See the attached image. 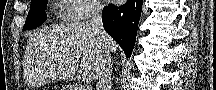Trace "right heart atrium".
Instances as JSON below:
<instances>
[{"label": "right heart atrium", "mask_w": 216, "mask_h": 90, "mask_svg": "<svg viewBox=\"0 0 216 90\" xmlns=\"http://www.w3.org/2000/svg\"><path fill=\"white\" fill-rule=\"evenodd\" d=\"M65 6H74L69 8L70 13H66L64 17L67 20H86L95 13L98 2L95 0H62Z\"/></svg>", "instance_id": "right-heart-atrium-1"}]
</instances>
